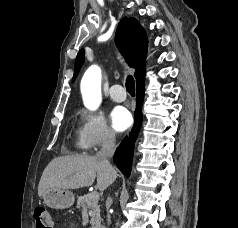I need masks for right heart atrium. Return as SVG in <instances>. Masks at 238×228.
Listing matches in <instances>:
<instances>
[{"instance_id":"right-heart-atrium-1","label":"right heart atrium","mask_w":238,"mask_h":228,"mask_svg":"<svg viewBox=\"0 0 238 228\" xmlns=\"http://www.w3.org/2000/svg\"><path fill=\"white\" fill-rule=\"evenodd\" d=\"M80 117L81 124L78 130V138L80 145L85 150L94 152L115 143V134L107 125L102 113L83 110Z\"/></svg>"}]
</instances>
